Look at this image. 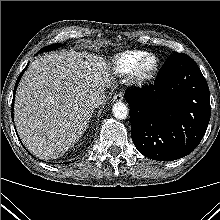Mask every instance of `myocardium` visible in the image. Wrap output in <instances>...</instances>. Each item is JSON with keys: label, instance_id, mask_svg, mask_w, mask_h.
<instances>
[{"label": "myocardium", "instance_id": "myocardium-1", "mask_svg": "<svg viewBox=\"0 0 220 220\" xmlns=\"http://www.w3.org/2000/svg\"><path fill=\"white\" fill-rule=\"evenodd\" d=\"M150 60V64L146 65ZM158 70V59L154 54L147 53L134 66L130 72L129 81L135 86H144L150 82Z\"/></svg>", "mask_w": 220, "mask_h": 220}]
</instances>
